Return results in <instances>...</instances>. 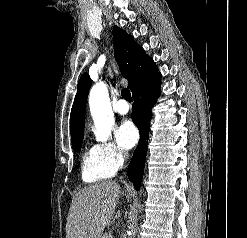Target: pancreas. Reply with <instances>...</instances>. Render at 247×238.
Listing matches in <instances>:
<instances>
[{
    "label": "pancreas",
    "instance_id": "pancreas-1",
    "mask_svg": "<svg viewBox=\"0 0 247 238\" xmlns=\"http://www.w3.org/2000/svg\"><path fill=\"white\" fill-rule=\"evenodd\" d=\"M101 238H110L108 235H103Z\"/></svg>",
    "mask_w": 247,
    "mask_h": 238
}]
</instances>
